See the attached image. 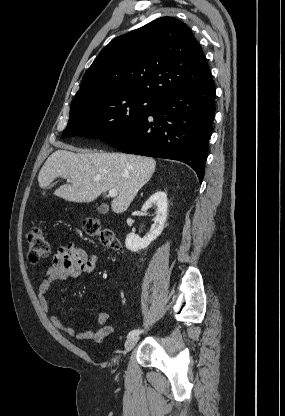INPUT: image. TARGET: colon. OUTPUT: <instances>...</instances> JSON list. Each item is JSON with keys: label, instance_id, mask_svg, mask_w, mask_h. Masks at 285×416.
I'll return each instance as SVG.
<instances>
[{"label": "colon", "instance_id": "obj_1", "mask_svg": "<svg viewBox=\"0 0 285 416\" xmlns=\"http://www.w3.org/2000/svg\"><path fill=\"white\" fill-rule=\"evenodd\" d=\"M83 228L89 236L97 238L101 245L111 248L118 247V241L114 233L109 229H103L97 219H85ZM26 242L27 257L31 263H37L49 255V243L40 229H31L27 234Z\"/></svg>", "mask_w": 285, "mask_h": 416}]
</instances>
